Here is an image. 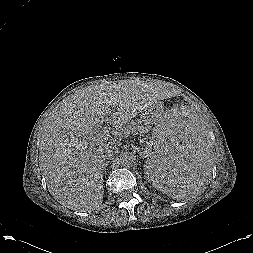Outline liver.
<instances>
[{
    "mask_svg": "<svg viewBox=\"0 0 253 253\" xmlns=\"http://www.w3.org/2000/svg\"><path fill=\"white\" fill-rule=\"evenodd\" d=\"M152 84L121 81L90 85L68 97L44 125L39 166L47 187L65 207L93 211L103 201L106 140L90 141L106 116L116 132L157 102Z\"/></svg>",
    "mask_w": 253,
    "mask_h": 253,
    "instance_id": "liver-1",
    "label": "liver"
}]
</instances>
